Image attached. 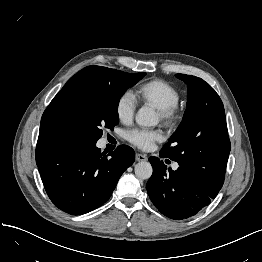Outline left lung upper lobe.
<instances>
[{
	"label": "left lung upper lobe",
	"instance_id": "obj_1",
	"mask_svg": "<svg viewBox=\"0 0 262 262\" xmlns=\"http://www.w3.org/2000/svg\"><path fill=\"white\" fill-rule=\"evenodd\" d=\"M188 85L183 120L160 151L198 180L220 187L230 153L225 110L216 91L201 78L176 74Z\"/></svg>",
	"mask_w": 262,
	"mask_h": 262
}]
</instances>
